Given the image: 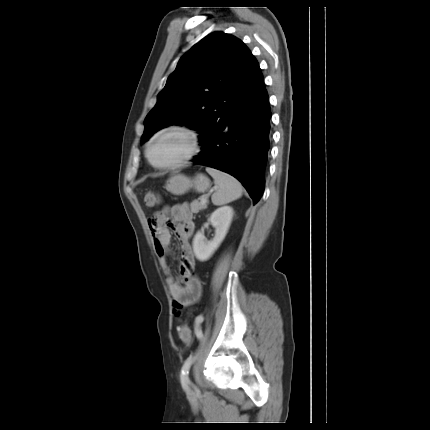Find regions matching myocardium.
<instances>
[{
	"mask_svg": "<svg viewBox=\"0 0 430 430\" xmlns=\"http://www.w3.org/2000/svg\"><path fill=\"white\" fill-rule=\"evenodd\" d=\"M172 131H177V132H182L184 134H186L189 139H190V148L188 150V152L181 157L180 159H178L177 161L167 164V165H160L155 163L151 156H150V149L152 144L154 143V141L160 137L161 135L168 133V132H172ZM200 137L199 134L192 128L185 126V125H170L167 126L165 128L160 129L159 131H157L156 133H154L150 139L148 140L146 146H145V156L147 161L154 167L160 170H171V169H175L178 168L186 163H188L189 161H191L194 157H196L199 152H200Z\"/></svg>",
	"mask_w": 430,
	"mask_h": 430,
	"instance_id": "1",
	"label": "myocardium"
}]
</instances>
